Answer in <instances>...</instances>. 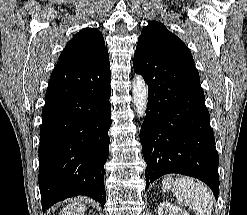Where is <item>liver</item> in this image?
Wrapping results in <instances>:
<instances>
[{"label": "liver", "mask_w": 247, "mask_h": 215, "mask_svg": "<svg viewBox=\"0 0 247 215\" xmlns=\"http://www.w3.org/2000/svg\"><path fill=\"white\" fill-rule=\"evenodd\" d=\"M86 209V205L83 204V199L75 198L62 211H60L59 215H84Z\"/></svg>", "instance_id": "obj_1"}]
</instances>
